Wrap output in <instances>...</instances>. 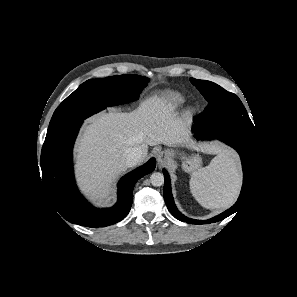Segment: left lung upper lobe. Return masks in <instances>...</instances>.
<instances>
[{"instance_id":"left-lung-upper-lobe-1","label":"left lung upper lobe","mask_w":297,"mask_h":297,"mask_svg":"<svg viewBox=\"0 0 297 297\" xmlns=\"http://www.w3.org/2000/svg\"><path fill=\"white\" fill-rule=\"evenodd\" d=\"M191 83L208 101V105L194 124L201 128L229 126L256 134L246 109L240 99L219 85L205 80L190 78Z\"/></svg>"}]
</instances>
